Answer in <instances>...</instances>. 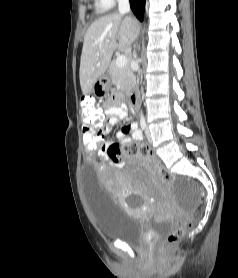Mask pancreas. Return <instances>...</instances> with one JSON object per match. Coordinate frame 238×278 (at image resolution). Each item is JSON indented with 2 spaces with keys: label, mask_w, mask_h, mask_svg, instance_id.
Listing matches in <instances>:
<instances>
[{
  "label": "pancreas",
  "mask_w": 238,
  "mask_h": 278,
  "mask_svg": "<svg viewBox=\"0 0 238 278\" xmlns=\"http://www.w3.org/2000/svg\"><path fill=\"white\" fill-rule=\"evenodd\" d=\"M112 82L118 86L121 91H130L135 86L136 80L129 64L124 67H118L116 61H112L109 67Z\"/></svg>",
  "instance_id": "pancreas-1"
}]
</instances>
